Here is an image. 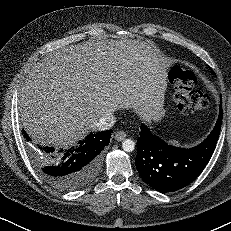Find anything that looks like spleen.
Segmentation results:
<instances>
[{
  "label": "spleen",
  "instance_id": "obj_1",
  "mask_svg": "<svg viewBox=\"0 0 231 231\" xmlns=\"http://www.w3.org/2000/svg\"><path fill=\"white\" fill-rule=\"evenodd\" d=\"M170 144H173V145H179V142L176 141V140H171L169 141Z\"/></svg>",
  "mask_w": 231,
  "mask_h": 231
}]
</instances>
